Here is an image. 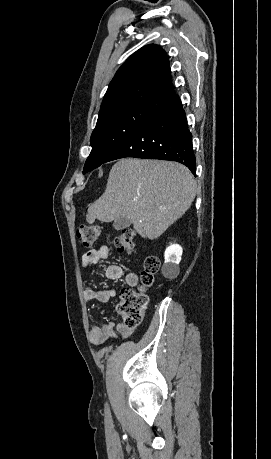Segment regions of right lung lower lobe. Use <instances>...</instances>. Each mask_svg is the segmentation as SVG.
Masks as SVG:
<instances>
[{
  "mask_svg": "<svg viewBox=\"0 0 271 459\" xmlns=\"http://www.w3.org/2000/svg\"><path fill=\"white\" fill-rule=\"evenodd\" d=\"M125 157L176 161L195 174L192 134L179 97L133 132L106 162Z\"/></svg>",
  "mask_w": 271,
  "mask_h": 459,
  "instance_id": "obj_1",
  "label": "right lung lower lobe"
}]
</instances>
